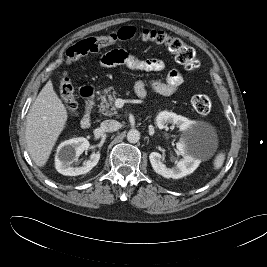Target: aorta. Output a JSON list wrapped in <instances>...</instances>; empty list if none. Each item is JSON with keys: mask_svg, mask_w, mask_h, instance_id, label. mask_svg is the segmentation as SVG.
Listing matches in <instances>:
<instances>
[{"mask_svg": "<svg viewBox=\"0 0 267 267\" xmlns=\"http://www.w3.org/2000/svg\"><path fill=\"white\" fill-rule=\"evenodd\" d=\"M140 139V132L137 129H131L127 133V140L130 143H137Z\"/></svg>", "mask_w": 267, "mask_h": 267, "instance_id": "aorta-1", "label": "aorta"}]
</instances>
